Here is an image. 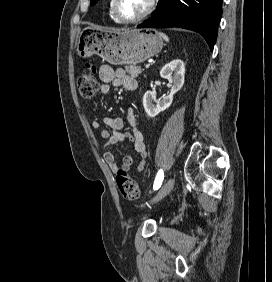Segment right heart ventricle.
<instances>
[{"mask_svg":"<svg viewBox=\"0 0 272 282\" xmlns=\"http://www.w3.org/2000/svg\"><path fill=\"white\" fill-rule=\"evenodd\" d=\"M109 13H110L111 18H112L115 22H120V20H118V19L115 17V15H114V13H113V11H112L111 3H110V8H109Z\"/></svg>","mask_w":272,"mask_h":282,"instance_id":"e07e8e85","label":"right heart ventricle"}]
</instances>
